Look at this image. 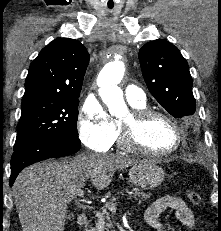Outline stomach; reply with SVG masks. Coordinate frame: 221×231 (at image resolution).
<instances>
[{
	"mask_svg": "<svg viewBox=\"0 0 221 231\" xmlns=\"http://www.w3.org/2000/svg\"><path fill=\"white\" fill-rule=\"evenodd\" d=\"M129 178L134 185L143 189L159 186L164 178V170L153 160L136 162L129 171Z\"/></svg>",
	"mask_w": 221,
	"mask_h": 231,
	"instance_id": "obj_1",
	"label": "stomach"
}]
</instances>
